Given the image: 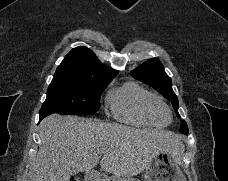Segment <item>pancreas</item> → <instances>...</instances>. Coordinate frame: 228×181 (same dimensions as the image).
<instances>
[{"label":"pancreas","instance_id":"1","mask_svg":"<svg viewBox=\"0 0 228 181\" xmlns=\"http://www.w3.org/2000/svg\"><path fill=\"white\" fill-rule=\"evenodd\" d=\"M124 181V179H121V177H106V181ZM130 181H133V179H130Z\"/></svg>","mask_w":228,"mask_h":181}]
</instances>
